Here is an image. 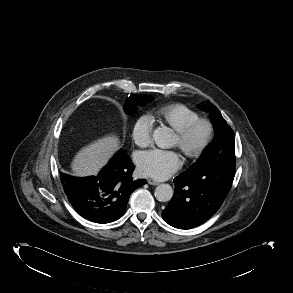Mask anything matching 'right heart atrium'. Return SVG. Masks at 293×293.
<instances>
[{"mask_svg":"<svg viewBox=\"0 0 293 293\" xmlns=\"http://www.w3.org/2000/svg\"><path fill=\"white\" fill-rule=\"evenodd\" d=\"M153 118L148 114L139 116L132 126L133 141L140 147L148 146L152 140Z\"/></svg>","mask_w":293,"mask_h":293,"instance_id":"d8ad5b80","label":"right heart atrium"}]
</instances>
